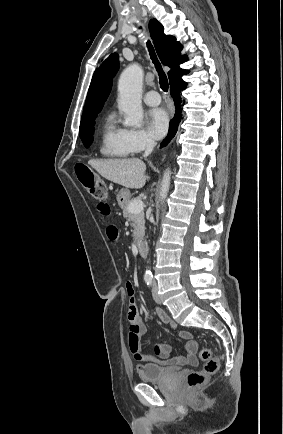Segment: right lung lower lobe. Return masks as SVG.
Segmentation results:
<instances>
[{"instance_id":"98d812e1","label":"right lung lower lobe","mask_w":283,"mask_h":434,"mask_svg":"<svg viewBox=\"0 0 283 434\" xmlns=\"http://www.w3.org/2000/svg\"><path fill=\"white\" fill-rule=\"evenodd\" d=\"M186 85L187 84L184 81H182L181 77L175 78L174 81L170 83V92H171V96L173 97L174 103L176 105V111H175L174 118L170 121L168 136L161 143V147L166 146L177 132L178 125L181 121L182 101H181L180 91L183 90L186 87Z\"/></svg>"}]
</instances>
